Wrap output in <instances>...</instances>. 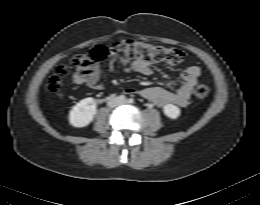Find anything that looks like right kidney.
Masks as SVG:
<instances>
[{"label": "right kidney", "instance_id": "right-kidney-1", "mask_svg": "<svg viewBox=\"0 0 260 205\" xmlns=\"http://www.w3.org/2000/svg\"><path fill=\"white\" fill-rule=\"evenodd\" d=\"M96 115L95 99H82L69 112V122L73 127L82 128L89 125Z\"/></svg>", "mask_w": 260, "mask_h": 205}]
</instances>
